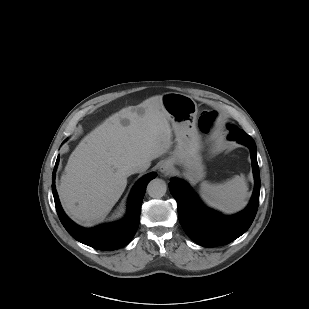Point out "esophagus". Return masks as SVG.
Here are the masks:
<instances>
[{
  "mask_svg": "<svg viewBox=\"0 0 309 309\" xmlns=\"http://www.w3.org/2000/svg\"><path fill=\"white\" fill-rule=\"evenodd\" d=\"M171 169H172V165L168 161H164L159 167V171L162 174H168L171 171Z\"/></svg>",
  "mask_w": 309,
  "mask_h": 309,
  "instance_id": "esophagus-1",
  "label": "esophagus"
}]
</instances>
